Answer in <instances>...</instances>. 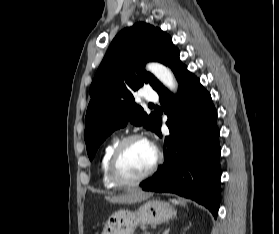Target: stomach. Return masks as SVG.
<instances>
[{
  "mask_svg": "<svg viewBox=\"0 0 279 234\" xmlns=\"http://www.w3.org/2000/svg\"><path fill=\"white\" fill-rule=\"evenodd\" d=\"M175 214L169 204L157 200L148 201L136 211L119 210L104 225L102 234H134L138 225H157L168 221Z\"/></svg>",
  "mask_w": 279,
  "mask_h": 234,
  "instance_id": "obj_1",
  "label": "stomach"
}]
</instances>
